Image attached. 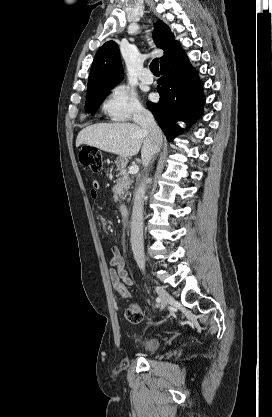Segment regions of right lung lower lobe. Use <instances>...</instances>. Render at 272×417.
Instances as JSON below:
<instances>
[{
	"instance_id": "98d812e1",
	"label": "right lung lower lobe",
	"mask_w": 272,
	"mask_h": 417,
	"mask_svg": "<svg viewBox=\"0 0 272 417\" xmlns=\"http://www.w3.org/2000/svg\"><path fill=\"white\" fill-rule=\"evenodd\" d=\"M162 77L158 81L161 96L157 104L148 102L166 138L171 141L181 130L176 124L183 120L192 124L203 114L202 82L180 47L160 64Z\"/></svg>"
}]
</instances>
